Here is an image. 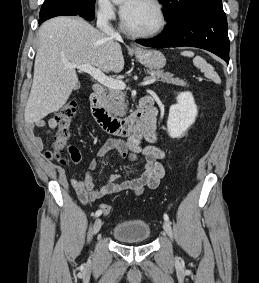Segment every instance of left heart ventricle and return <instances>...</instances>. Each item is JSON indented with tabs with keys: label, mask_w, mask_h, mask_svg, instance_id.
I'll return each mask as SVG.
<instances>
[{
	"label": "left heart ventricle",
	"mask_w": 259,
	"mask_h": 283,
	"mask_svg": "<svg viewBox=\"0 0 259 283\" xmlns=\"http://www.w3.org/2000/svg\"><path fill=\"white\" fill-rule=\"evenodd\" d=\"M127 25L135 31L148 32L160 24L157 9L147 0H135L129 11L123 15Z\"/></svg>",
	"instance_id": "1"
}]
</instances>
